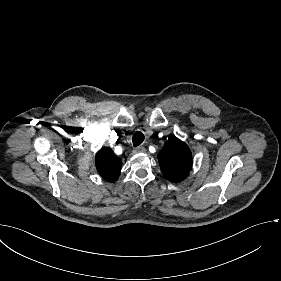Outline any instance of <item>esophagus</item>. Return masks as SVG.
I'll return each instance as SVG.
<instances>
[{"label":"esophagus","instance_id":"esophagus-1","mask_svg":"<svg viewBox=\"0 0 281 281\" xmlns=\"http://www.w3.org/2000/svg\"><path fill=\"white\" fill-rule=\"evenodd\" d=\"M135 153H144L146 152V148L144 146H138L134 149Z\"/></svg>","mask_w":281,"mask_h":281}]
</instances>
